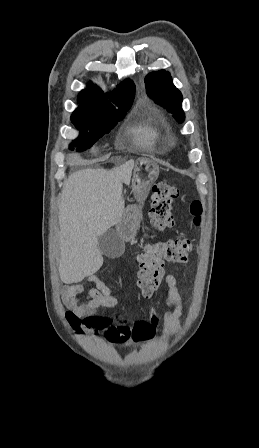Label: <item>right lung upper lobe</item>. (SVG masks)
Segmentation results:
<instances>
[{"mask_svg":"<svg viewBox=\"0 0 259 448\" xmlns=\"http://www.w3.org/2000/svg\"><path fill=\"white\" fill-rule=\"evenodd\" d=\"M134 96L135 85L129 79L120 83L112 94H104L96 85H88L87 89L80 92L78 96V103L80 105L72 115L115 110L110 101L105 97L115 103L119 107V110L127 109L131 107Z\"/></svg>","mask_w":259,"mask_h":448,"instance_id":"obj_1","label":"right lung upper lobe"}]
</instances>
